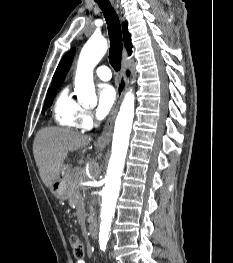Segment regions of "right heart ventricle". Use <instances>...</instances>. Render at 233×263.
Here are the masks:
<instances>
[{"label": "right heart ventricle", "instance_id": "obj_1", "mask_svg": "<svg viewBox=\"0 0 233 263\" xmlns=\"http://www.w3.org/2000/svg\"><path fill=\"white\" fill-rule=\"evenodd\" d=\"M82 110L81 105L69 93L67 88L63 89L54 103V119L64 127L80 128L78 117Z\"/></svg>", "mask_w": 233, "mask_h": 263}]
</instances>
